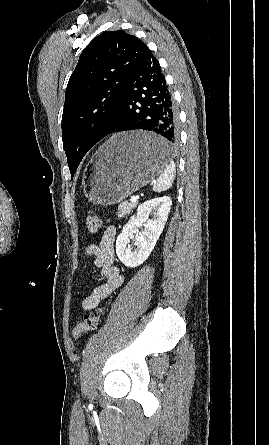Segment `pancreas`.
I'll use <instances>...</instances> for the list:
<instances>
[{"mask_svg":"<svg viewBox=\"0 0 269 445\" xmlns=\"http://www.w3.org/2000/svg\"><path fill=\"white\" fill-rule=\"evenodd\" d=\"M136 206L135 203H130V202H122L119 206H118V211H117V216L119 218H123L125 217L127 214H129L131 212V210Z\"/></svg>","mask_w":269,"mask_h":445,"instance_id":"1","label":"pancreas"}]
</instances>
